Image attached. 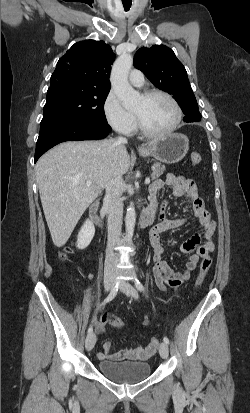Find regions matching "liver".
Instances as JSON below:
<instances>
[{"mask_svg": "<svg viewBox=\"0 0 250 413\" xmlns=\"http://www.w3.org/2000/svg\"><path fill=\"white\" fill-rule=\"evenodd\" d=\"M129 167L126 146L114 139L63 142L38 160L36 179L55 246L62 247L68 241L101 190L112 178L124 175ZM88 180H92L90 186H86Z\"/></svg>", "mask_w": 250, "mask_h": 413, "instance_id": "obj_1", "label": "liver"}]
</instances>
